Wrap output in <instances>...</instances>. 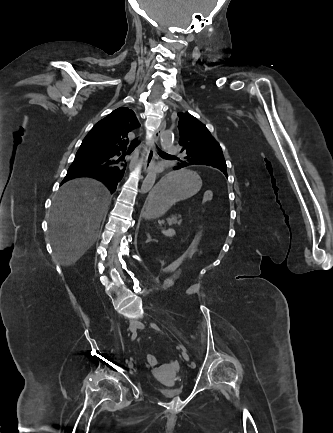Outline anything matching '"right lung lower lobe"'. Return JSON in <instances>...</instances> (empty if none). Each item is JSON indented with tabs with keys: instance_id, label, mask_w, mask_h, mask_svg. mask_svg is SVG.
<instances>
[{
	"instance_id": "right-lung-lower-lobe-1",
	"label": "right lung lower lobe",
	"mask_w": 333,
	"mask_h": 433,
	"mask_svg": "<svg viewBox=\"0 0 333 433\" xmlns=\"http://www.w3.org/2000/svg\"><path fill=\"white\" fill-rule=\"evenodd\" d=\"M81 146L93 148V143L87 137ZM117 155L119 156L120 152L104 155L76 154L62 183L77 177H92L105 184L113 193L118 182L121 181L126 167L125 161L115 158Z\"/></svg>"
}]
</instances>
